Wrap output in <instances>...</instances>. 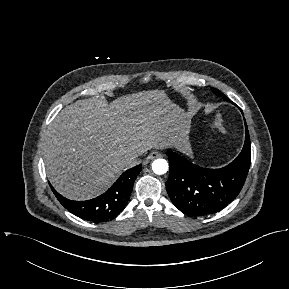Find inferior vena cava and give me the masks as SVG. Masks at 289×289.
Here are the masks:
<instances>
[{
	"instance_id": "602c4592",
	"label": "inferior vena cava",
	"mask_w": 289,
	"mask_h": 289,
	"mask_svg": "<svg viewBox=\"0 0 289 289\" xmlns=\"http://www.w3.org/2000/svg\"><path fill=\"white\" fill-rule=\"evenodd\" d=\"M137 157H138L137 154L128 155V156L125 158L126 164H127L129 167H133V166L139 164L140 161L137 159Z\"/></svg>"
}]
</instances>
